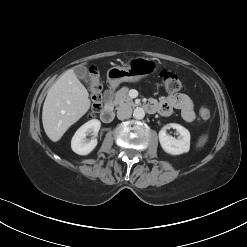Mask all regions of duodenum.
Instances as JSON below:
<instances>
[{
	"label": "duodenum",
	"instance_id": "obj_1",
	"mask_svg": "<svg viewBox=\"0 0 247 247\" xmlns=\"http://www.w3.org/2000/svg\"><path fill=\"white\" fill-rule=\"evenodd\" d=\"M111 96V89L107 90L105 93V106L101 112V119L104 123H110L114 118V109L113 105L109 102ZM145 108L149 111H156L155 106H150L149 103L145 105Z\"/></svg>",
	"mask_w": 247,
	"mask_h": 247
}]
</instances>
